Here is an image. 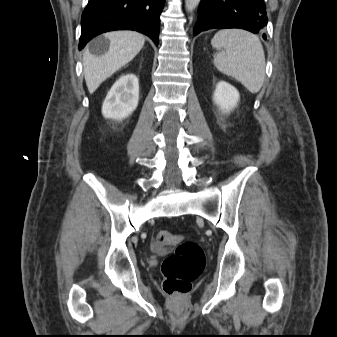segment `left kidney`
<instances>
[{
  "instance_id": "1",
  "label": "left kidney",
  "mask_w": 337,
  "mask_h": 337,
  "mask_svg": "<svg viewBox=\"0 0 337 337\" xmlns=\"http://www.w3.org/2000/svg\"><path fill=\"white\" fill-rule=\"evenodd\" d=\"M239 99V92L229 83L220 81L216 85L213 101L223 114H229L233 109H235Z\"/></svg>"
}]
</instances>
